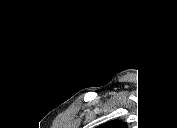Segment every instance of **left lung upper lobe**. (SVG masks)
I'll list each match as a JSON object with an SVG mask.
<instances>
[{
    "instance_id": "5c2ea615",
    "label": "left lung upper lobe",
    "mask_w": 177,
    "mask_h": 128,
    "mask_svg": "<svg viewBox=\"0 0 177 128\" xmlns=\"http://www.w3.org/2000/svg\"><path fill=\"white\" fill-rule=\"evenodd\" d=\"M105 126L104 127H119V128H122V127H125V124L119 120H114V121H110V122H107L104 124Z\"/></svg>"
}]
</instances>
